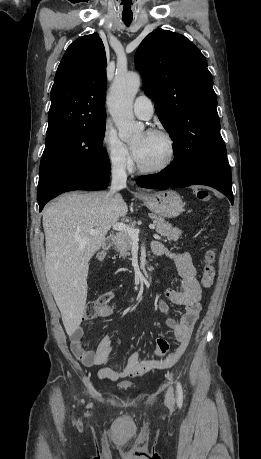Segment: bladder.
Masks as SVG:
<instances>
[{"instance_id":"31cf9c89","label":"bladder","mask_w":261,"mask_h":459,"mask_svg":"<svg viewBox=\"0 0 261 459\" xmlns=\"http://www.w3.org/2000/svg\"><path fill=\"white\" fill-rule=\"evenodd\" d=\"M119 387L122 388V389H129V388L132 387V384L129 383V382H123V383H121V384L119 385Z\"/></svg>"}]
</instances>
